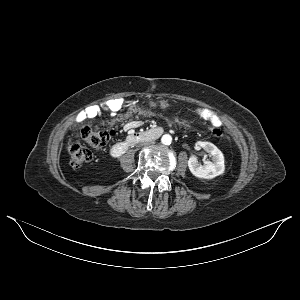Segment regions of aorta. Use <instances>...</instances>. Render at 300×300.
Returning a JSON list of instances; mask_svg holds the SVG:
<instances>
[{
	"label": "aorta",
	"mask_w": 300,
	"mask_h": 300,
	"mask_svg": "<svg viewBox=\"0 0 300 300\" xmlns=\"http://www.w3.org/2000/svg\"><path fill=\"white\" fill-rule=\"evenodd\" d=\"M172 142V137L171 135L169 134H164L162 137H161V143L164 144V145H170Z\"/></svg>",
	"instance_id": "762f6f07"
}]
</instances>
